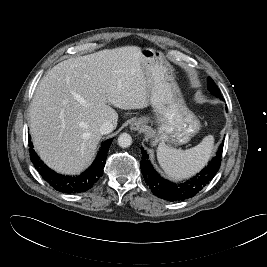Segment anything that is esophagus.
Returning a JSON list of instances; mask_svg holds the SVG:
<instances>
[{"label":"esophagus","mask_w":267,"mask_h":267,"mask_svg":"<svg viewBox=\"0 0 267 267\" xmlns=\"http://www.w3.org/2000/svg\"><path fill=\"white\" fill-rule=\"evenodd\" d=\"M130 129L132 131L141 133L144 130V123L142 120L140 119H136L134 120L131 124H130Z\"/></svg>","instance_id":"obj_1"}]
</instances>
